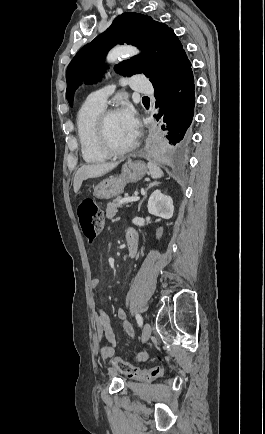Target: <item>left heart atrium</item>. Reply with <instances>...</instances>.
<instances>
[{
    "label": "left heart atrium",
    "mask_w": 265,
    "mask_h": 434,
    "mask_svg": "<svg viewBox=\"0 0 265 434\" xmlns=\"http://www.w3.org/2000/svg\"><path fill=\"white\" fill-rule=\"evenodd\" d=\"M119 117L128 133L133 139H136L139 133V125L135 109L130 104L124 103L119 111Z\"/></svg>",
    "instance_id": "39dd6f15"
}]
</instances>
